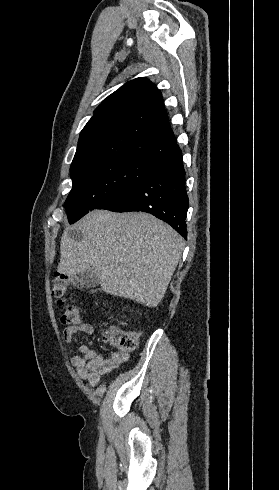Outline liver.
I'll use <instances>...</instances> for the list:
<instances>
[{
	"label": "liver",
	"instance_id": "liver-1",
	"mask_svg": "<svg viewBox=\"0 0 279 490\" xmlns=\"http://www.w3.org/2000/svg\"><path fill=\"white\" fill-rule=\"evenodd\" d=\"M73 228L80 242L63 234L57 272L76 276L94 270L103 292L156 308L181 258L183 238L145 212L93 210Z\"/></svg>",
	"mask_w": 279,
	"mask_h": 490
}]
</instances>
